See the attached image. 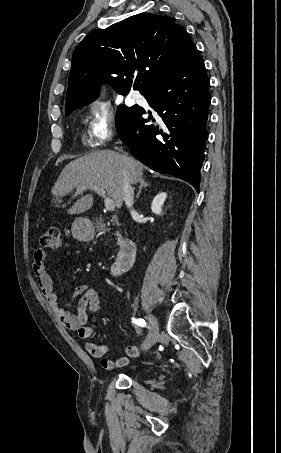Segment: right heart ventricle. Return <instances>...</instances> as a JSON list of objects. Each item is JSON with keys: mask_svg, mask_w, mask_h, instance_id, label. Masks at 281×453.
Returning a JSON list of instances; mask_svg holds the SVG:
<instances>
[{"mask_svg": "<svg viewBox=\"0 0 281 453\" xmlns=\"http://www.w3.org/2000/svg\"><path fill=\"white\" fill-rule=\"evenodd\" d=\"M82 143H83L84 145L91 144V142L86 141L85 139L82 140Z\"/></svg>", "mask_w": 281, "mask_h": 453, "instance_id": "e07e8e85", "label": "right heart ventricle"}]
</instances>
